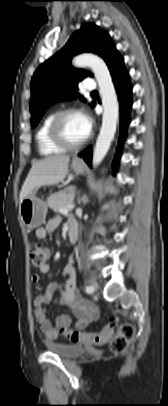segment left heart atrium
Segmentation results:
<instances>
[{
    "label": "left heart atrium",
    "mask_w": 168,
    "mask_h": 406,
    "mask_svg": "<svg viewBox=\"0 0 168 406\" xmlns=\"http://www.w3.org/2000/svg\"><path fill=\"white\" fill-rule=\"evenodd\" d=\"M80 118H81V122H82V126L84 128V131L86 133L87 136H89V134L91 133L92 130V119L89 116L88 113L86 112H80L79 113Z\"/></svg>",
    "instance_id": "1"
}]
</instances>
